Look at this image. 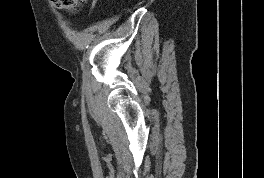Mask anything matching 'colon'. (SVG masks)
I'll list each match as a JSON object with an SVG mask.
<instances>
[{
    "label": "colon",
    "mask_w": 264,
    "mask_h": 178,
    "mask_svg": "<svg viewBox=\"0 0 264 178\" xmlns=\"http://www.w3.org/2000/svg\"><path fill=\"white\" fill-rule=\"evenodd\" d=\"M53 6L65 11H74L86 3V0H50Z\"/></svg>",
    "instance_id": "1"
}]
</instances>
